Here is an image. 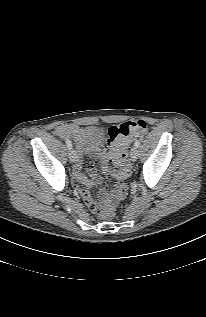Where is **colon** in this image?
<instances>
[{
  "mask_svg": "<svg viewBox=\"0 0 206 317\" xmlns=\"http://www.w3.org/2000/svg\"><path fill=\"white\" fill-rule=\"evenodd\" d=\"M146 130L147 124L143 120L126 121L109 128L108 143L112 147L111 160L119 166L116 177L120 181L124 180L130 173V163L127 157V147L129 143L142 136ZM121 186L122 184L120 183L117 194L120 192ZM95 212L103 218H112L115 214L113 207L98 204Z\"/></svg>",
  "mask_w": 206,
  "mask_h": 317,
  "instance_id": "5ec220e1",
  "label": "colon"
}]
</instances>
